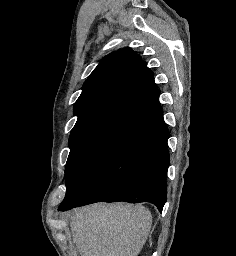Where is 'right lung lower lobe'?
I'll use <instances>...</instances> for the list:
<instances>
[{"instance_id":"obj_1","label":"right lung lower lobe","mask_w":236,"mask_h":256,"mask_svg":"<svg viewBox=\"0 0 236 256\" xmlns=\"http://www.w3.org/2000/svg\"><path fill=\"white\" fill-rule=\"evenodd\" d=\"M169 131L160 120L109 159L58 210L95 202H150L162 212L166 202Z\"/></svg>"}]
</instances>
